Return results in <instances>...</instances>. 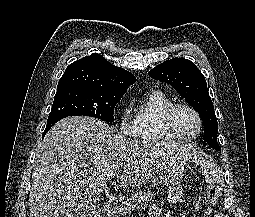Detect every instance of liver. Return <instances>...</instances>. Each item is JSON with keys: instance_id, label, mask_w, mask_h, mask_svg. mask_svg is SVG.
I'll return each mask as SVG.
<instances>
[{"instance_id": "liver-1", "label": "liver", "mask_w": 255, "mask_h": 217, "mask_svg": "<svg viewBox=\"0 0 255 217\" xmlns=\"http://www.w3.org/2000/svg\"><path fill=\"white\" fill-rule=\"evenodd\" d=\"M172 156L199 157L191 144L132 140L92 117L56 123L36 153L29 197L30 217H78L83 191L99 194L107 176L129 189L148 182Z\"/></svg>"}]
</instances>
